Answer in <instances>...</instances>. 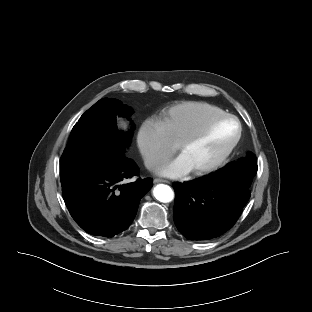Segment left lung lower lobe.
<instances>
[{"mask_svg": "<svg viewBox=\"0 0 312 312\" xmlns=\"http://www.w3.org/2000/svg\"><path fill=\"white\" fill-rule=\"evenodd\" d=\"M173 218L188 240H209L238 220L251 192L231 176L217 172L184 184L174 183Z\"/></svg>", "mask_w": 312, "mask_h": 312, "instance_id": "1", "label": "left lung lower lobe"}]
</instances>
